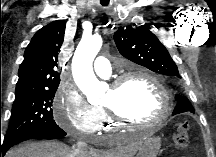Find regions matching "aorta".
I'll return each mask as SVG.
<instances>
[{"label":"aorta","instance_id":"obj_1","mask_svg":"<svg viewBox=\"0 0 216 157\" xmlns=\"http://www.w3.org/2000/svg\"><path fill=\"white\" fill-rule=\"evenodd\" d=\"M101 46L102 39L99 36L83 38L72 59L74 81L92 104L99 103L104 94V85L93 72V61Z\"/></svg>","mask_w":216,"mask_h":157}]
</instances>
